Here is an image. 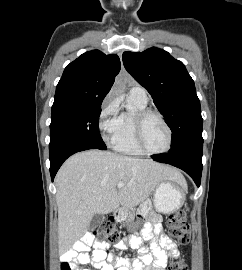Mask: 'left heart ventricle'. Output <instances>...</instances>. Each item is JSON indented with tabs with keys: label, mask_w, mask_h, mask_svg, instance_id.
<instances>
[{
	"label": "left heart ventricle",
	"mask_w": 242,
	"mask_h": 270,
	"mask_svg": "<svg viewBox=\"0 0 242 270\" xmlns=\"http://www.w3.org/2000/svg\"><path fill=\"white\" fill-rule=\"evenodd\" d=\"M168 141L167 130L161 121L155 117L150 118L144 129V142L148 149L161 151L166 148Z\"/></svg>",
	"instance_id": "left-heart-ventricle-1"
}]
</instances>
